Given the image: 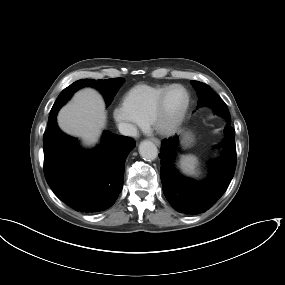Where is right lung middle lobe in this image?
I'll list each match as a JSON object with an SVG mask.
<instances>
[{
    "label": "right lung middle lobe",
    "instance_id": "dd1d6c3e",
    "mask_svg": "<svg viewBox=\"0 0 285 285\" xmlns=\"http://www.w3.org/2000/svg\"><path fill=\"white\" fill-rule=\"evenodd\" d=\"M123 81H124L123 78H112V79H106V80L81 79V80L74 82L73 84L65 88L61 92L57 100L55 101L51 109V112H50L48 123H50L55 118L61 106L64 105L71 98L73 93L77 91L78 89L85 87V86L94 87L98 89L104 95L106 104L110 105V103L113 100V97L115 96V94L117 93L121 85L123 84Z\"/></svg>",
    "mask_w": 285,
    "mask_h": 285
}]
</instances>
